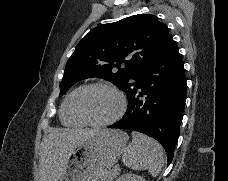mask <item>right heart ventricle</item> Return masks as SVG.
<instances>
[{
    "label": "right heart ventricle",
    "instance_id": "1",
    "mask_svg": "<svg viewBox=\"0 0 228 181\" xmlns=\"http://www.w3.org/2000/svg\"><path fill=\"white\" fill-rule=\"evenodd\" d=\"M84 89L83 86L72 91L66 98L61 111L62 122L67 126L80 127L84 125V121L79 118L76 111V100L80 92Z\"/></svg>",
    "mask_w": 228,
    "mask_h": 181
}]
</instances>
